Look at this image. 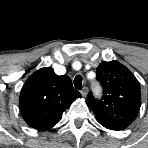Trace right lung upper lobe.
I'll use <instances>...</instances> for the list:
<instances>
[{
	"mask_svg": "<svg viewBox=\"0 0 148 148\" xmlns=\"http://www.w3.org/2000/svg\"><path fill=\"white\" fill-rule=\"evenodd\" d=\"M81 97L67 75L58 76L53 68H41L22 87L19 107L25 122L37 130L54 127L62 113Z\"/></svg>",
	"mask_w": 148,
	"mask_h": 148,
	"instance_id": "1",
	"label": "right lung upper lobe"
}]
</instances>
